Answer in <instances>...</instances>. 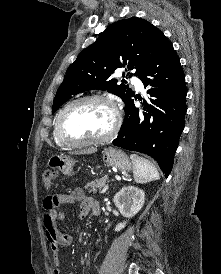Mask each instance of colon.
<instances>
[{"label":"colon","instance_id":"colon-1","mask_svg":"<svg viewBox=\"0 0 221 274\" xmlns=\"http://www.w3.org/2000/svg\"><path fill=\"white\" fill-rule=\"evenodd\" d=\"M57 173L54 170L47 169L42 174V183L46 188H51L56 180Z\"/></svg>","mask_w":221,"mask_h":274}]
</instances>
